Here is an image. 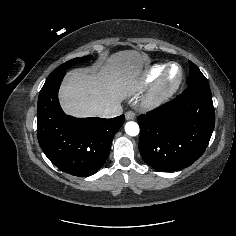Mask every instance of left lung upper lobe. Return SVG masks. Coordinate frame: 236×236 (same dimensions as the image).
Wrapping results in <instances>:
<instances>
[{
  "label": "left lung upper lobe",
  "mask_w": 236,
  "mask_h": 236,
  "mask_svg": "<svg viewBox=\"0 0 236 236\" xmlns=\"http://www.w3.org/2000/svg\"><path fill=\"white\" fill-rule=\"evenodd\" d=\"M189 72L190 76L187 81L188 87L198 84H208V81L205 76L202 74L199 68L191 61H189Z\"/></svg>",
  "instance_id": "5c2ea615"
}]
</instances>
